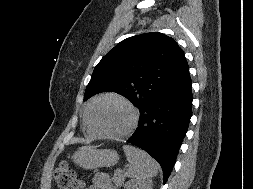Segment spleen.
<instances>
[{"label":"spleen","mask_w":253,"mask_h":189,"mask_svg":"<svg viewBox=\"0 0 253 189\" xmlns=\"http://www.w3.org/2000/svg\"><path fill=\"white\" fill-rule=\"evenodd\" d=\"M123 149L129 162L127 177L146 180L157 175L159 165L148 153L131 145H124Z\"/></svg>","instance_id":"spleen-1"}]
</instances>
